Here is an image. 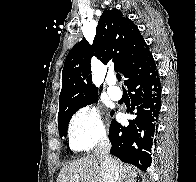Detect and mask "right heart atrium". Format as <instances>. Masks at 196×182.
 Listing matches in <instances>:
<instances>
[{"instance_id":"1","label":"right heart atrium","mask_w":196,"mask_h":182,"mask_svg":"<svg viewBox=\"0 0 196 182\" xmlns=\"http://www.w3.org/2000/svg\"><path fill=\"white\" fill-rule=\"evenodd\" d=\"M68 138L75 151L89 150L106 138L105 126L95 106H84L72 116Z\"/></svg>"}]
</instances>
